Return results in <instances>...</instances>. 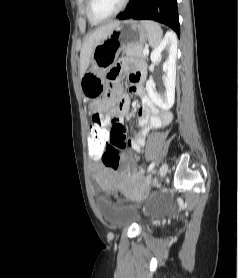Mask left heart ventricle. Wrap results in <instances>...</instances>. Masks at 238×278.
Masks as SVG:
<instances>
[{
  "instance_id": "obj_1",
  "label": "left heart ventricle",
  "mask_w": 238,
  "mask_h": 278,
  "mask_svg": "<svg viewBox=\"0 0 238 278\" xmlns=\"http://www.w3.org/2000/svg\"><path fill=\"white\" fill-rule=\"evenodd\" d=\"M122 1L123 0H94V13L99 17L107 16L118 9Z\"/></svg>"
}]
</instances>
